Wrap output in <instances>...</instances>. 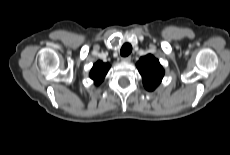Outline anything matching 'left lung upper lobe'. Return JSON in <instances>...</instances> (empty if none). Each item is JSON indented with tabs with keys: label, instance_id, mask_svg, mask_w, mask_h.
<instances>
[{
	"label": "left lung upper lobe",
	"instance_id": "obj_1",
	"mask_svg": "<svg viewBox=\"0 0 230 155\" xmlns=\"http://www.w3.org/2000/svg\"><path fill=\"white\" fill-rule=\"evenodd\" d=\"M143 78L146 90L153 91L161 83L164 76V69L153 55L148 54L140 58L136 64Z\"/></svg>",
	"mask_w": 230,
	"mask_h": 155
}]
</instances>
